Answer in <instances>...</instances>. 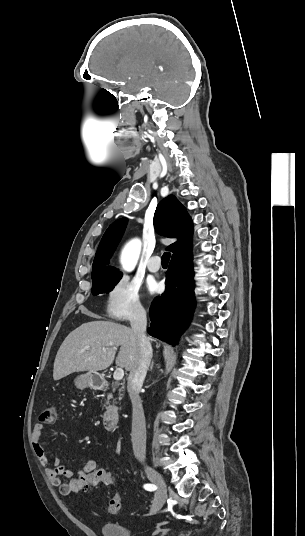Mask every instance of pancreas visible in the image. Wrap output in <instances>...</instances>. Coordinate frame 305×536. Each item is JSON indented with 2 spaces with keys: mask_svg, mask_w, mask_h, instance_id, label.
<instances>
[{
  "mask_svg": "<svg viewBox=\"0 0 305 536\" xmlns=\"http://www.w3.org/2000/svg\"><path fill=\"white\" fill-rule=\"evenodd\" d=\"M113 392H115V390H113ZM108 404V402H107ZM113 404H115V402H113ZM110 408H112V410H117L116 406H110Z\"/></svg>",
  "mask_w": 305,
  "mask_h": 536,
  "instance_id": "1",
  "label": "pancreas"
}]
</instances>
